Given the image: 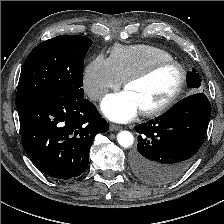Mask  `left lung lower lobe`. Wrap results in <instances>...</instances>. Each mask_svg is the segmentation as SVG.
<instances>
[{"instance_id":"obj_1","label":"left lung lower lobe","mask_w":224,"mask_h":224,"mask_svg":"<svg viewBox=\"0 0 224 224\" xmlns=\"http://www.w3.org/2000/svg\"><path fill=\"white\" fill-rule=\"evenodd\" d=\"M211 116V105L202 92L195 93L154 120L135 126L139 133L133 155L138 179L165 185L190 167L202 145Z\"/></svg>"}]
</instances>
